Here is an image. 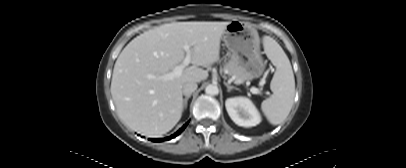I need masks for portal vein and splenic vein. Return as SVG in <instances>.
Here are the masks:
<instances>
[{"label": "portal vein and splenic vein", "instance_id": "obj_1", "mask_svg": "<svg viewBox=\"0 0 406 168\" xmlns=\"http://www.w3.org/2000/svg\"><path fill=\"white\" fill-rule=\"evenodd\" d=\"M183 49H184L185 52H186V57H185V59L183 60V62H182L180 65L176 66V67L173 69L172 72H169V73H167V74H165V75L163 76V78H164L165 80H170V79H173V78H175V77H179V76L182 74L183 69H184L186 66H188V65L190 64V62H191L190 45H184V46H183ZM250 91H251V93H253V94H261V91H260L258 88H256V87H252V88L250 89ZM266 94L269 95V92H266Z\"/></svg>", "mask_w": 406, "mask_h": 168}]
</instances>
